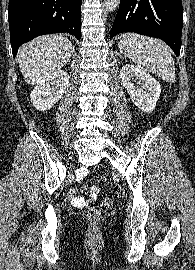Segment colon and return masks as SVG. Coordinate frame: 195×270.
<instances>
[{
	"label": "colon",
	"mask_w": 195,
	"mask_h": 270,
	"mask_svg": "<svg viewBox=\"0 0 195 270\" xmlns=\"http://www.w3.org/2000/svg\"><path fill=\"white\" fill-rule=\"evenodd\" d=\"M83 190L85 192L90 191L91 189L89 187H84ZM112 204V199L107 197L103 200V205L106 207L111 206ZM86 216L88 218V220L92 223H97L100 219V211L97 208H90L87 213Z\"/></svg>",
	"instance_id": "5ec220e1"
}]
</instances>
